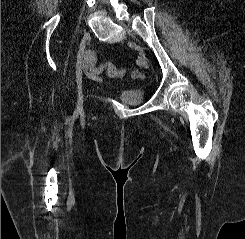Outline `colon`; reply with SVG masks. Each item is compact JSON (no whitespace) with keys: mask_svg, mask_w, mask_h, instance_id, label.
Masks as SVG:
<instances>
[{"mask_svg":"<svg viewBox=\"0 0 245 239\" xmlns=\"http://www.w3.org/2000/svg\"><path fill=\"white\" fill-rule=\"evenodd\" d=\"M106 71H107L108 75L111 77H118L122 73L121 70L117 66H115L113 63H110V62L106 63ZM132 75L135 78L142 77L141 73L138 72L137 70L133 71Z\"/></svg>","mask_w":245,"mask_h":239,"instance_id":"colon-1","label":"colon"}]
</instances>
